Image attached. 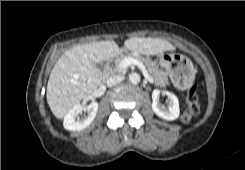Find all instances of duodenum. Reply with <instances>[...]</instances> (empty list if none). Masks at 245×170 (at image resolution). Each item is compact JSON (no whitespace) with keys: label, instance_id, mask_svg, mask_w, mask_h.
<instances>
[{"label":"duodenum","instance_id":"duodenum-1","mask_svg":"<svg viewBox=\"0 0 245 170\" xmlns=\"http://www.w3.org/2000/svg\"><path fill=\"white\" fill-rule=\"evenodd\" d=\"M114 75H115V72L109 66H107L106 69H105V76L107 78H110V77H112Z\"/></svg>","mask_w":245,"mask_h":170}]
</instances>
